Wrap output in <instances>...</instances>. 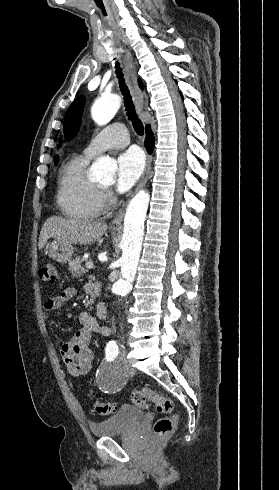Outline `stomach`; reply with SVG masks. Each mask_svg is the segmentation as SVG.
<instances>
[{"label": "stomach", "mask_w": 279, "mask_h": 490, "mask_svg": "<svg viewBox=\"0 0 279 490\" xmlns=\"http://www.w3.org/2000/svg\"><path fill=\"white\" fill-rule=\"evenodd\" d=\"M46 252L51 260L60 262V264H66V262L72 260L74 248L69 242H57V240H53V242H50L46 246Z\"/></svg>", "instance_id": "0dacf381"}]
</instances>
